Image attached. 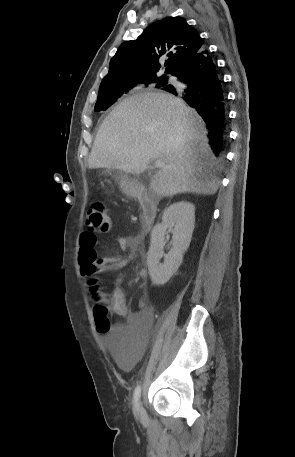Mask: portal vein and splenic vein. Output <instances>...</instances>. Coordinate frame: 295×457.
<instances>
[{"label":"portal vein and splenic vein","mask_w":295,"mask_h":457,"mask_svg":"<svg viewBox=\"0 0 295 457\" xmlns=\"http://www.w3.org/2000/svg\"><path fill=\"white\" fill-rule=\"evenodd\" d=\"M154 164H155V167H157V168H161V167L165 166V163L161 159H157Z\"/></svg>","instance_id":"obj_1"}]
</instances>
